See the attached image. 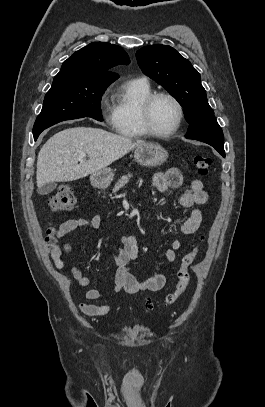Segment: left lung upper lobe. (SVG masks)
<instances>
[{
	"mask_svg": "<svg viewBox=\"0 0 265 407\" xmlns=\"http://www.w3.org/2000/svg\"><path fill=\"white\" fill-rule=\"evenodd\" d=\"M136 58L142 71L162 85L183 107L190 124L186 138L199 140L224 152V138L214 111L207 102L198 71L168 45L141 48Z\"/></svg>",
	"mask_w": 265,
	"mask_h": 407,
	"instance_id": "5c2ea615",
	"label": "left lung upper lobe"
}]
</instances>
